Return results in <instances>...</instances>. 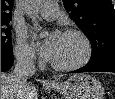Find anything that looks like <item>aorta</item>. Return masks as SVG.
I'll return each mask as SVG.
<instances>
[{
	"instance_id": "obj_1",
	"label": "aorta",
	"mask_w": 115,
	"mask_h": 99,
	"mask_svg": "<svg viewBox=\"0 0 115 99\" xmlns=\"http://www.w3.org/2000/svg\"><path fill=\"white\" fill-rule=\"evenodd\" d=\"M42 3V0L30 1L27 5V11L31 14L32 12L36 11L42 5Z\"/></svg>"
}]
</instances>
